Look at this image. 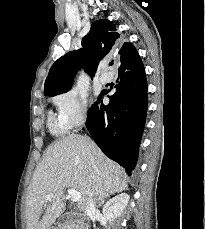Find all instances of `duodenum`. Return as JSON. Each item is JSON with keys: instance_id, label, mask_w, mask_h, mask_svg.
<instances>
[{"instance_id": "duodenum-1", "label": "duodenum", "mask_w": 205, "mask_h": 229, "mask_svg": "<svg viewBox=\"0 0 205 229\" xmlns=\"http://www.w3.org/2000/svg\"><path fill=\"white\" fill-rule=\"evenodd\" d=\"M63 221H64V222H72V223H75V224H77V225H81L80 220H78V219L76 218L75 215L67 216V217H65V218L63 219ZM82 228H84V227L82 226Z\"/></svg>"}]
</instances>
